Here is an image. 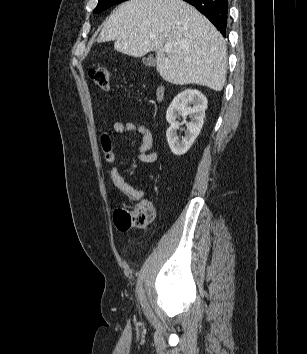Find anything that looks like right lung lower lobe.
I'll list each match as a JSON object with an SVG mask.
<instances>
[{
    "mask_svg": "<svg viewBox=\"0 0 307 354\" xmlns=\"http://www.w3.org/2000/svg\"><path fill=\"white\" fill-rule=\"evenodd\" d=\"M203 13L226 36L228 0H184Z\"/></svg>",
    "mask_w": 307,
    "mask_h": 354,
    "instance_id": "right-lung-lower-lobe-1",
    "label": "right lung lower lobe"
}]
</instances>
